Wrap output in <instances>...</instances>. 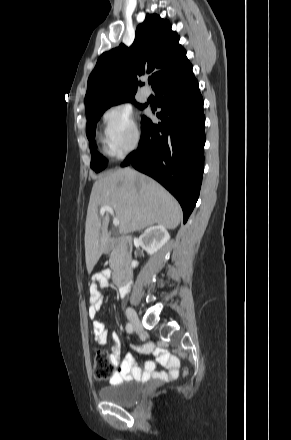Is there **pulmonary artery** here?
<instances>
[{"label": "pulmonary artery", "mask_w": 291, "mask_h": 440, "mask_svg": "<svg viewBox=\"0 0 291 440\" xmlns=\"http://www.w3.org/2000/svg\"><path fill=\"white\" fill-rule=\"evenodd\" d=\"M141 93L144 97H149L150 96V89L147 86H143L141 88Z\"/></svg>", "instance_id": "pulmonary-artery-1"}]
</instances>
